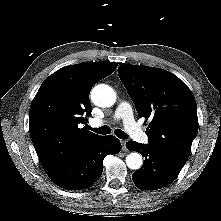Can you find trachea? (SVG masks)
Returning a JSON list of instances; mask_svg holds the SVG:
<instances>
[{"instance_id":"trachea-1","label":"trachea","mask_w":221,"mask_h":221,"mask_svg":"<svg viewBox=\"0 0 221 221\" xmlns=\"http://www.w3.org/2000/svg\"><path fill=\"white\" fill-rule=\"evenodd\" d=\"M89 130L97 133V134H102V135H106V134H109L110 133V128L108 126H102V127H99V128H92L90 126L87 127ZM114 134L120 138V139H126L127 138V134L120 130V129H116Z\"/></svg>"}]
</instances>
